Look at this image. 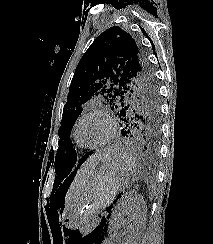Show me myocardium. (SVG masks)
<instances>
[{"instance_id":"f54148a6","label":"myocardium","mask_w":213,"mask_h":244,"mask_svg":"<svg viewBox=\"0 0 213 244\" xmlns=\"http://www.w3.org/2000/svg\"><path fill=\"white\" fill-rule=\"evenodd\" d=\"M93 115L101 116L106 121V123L108 125V133H107L106 137L100 143L95 144V145H86L79 140L77 130H78L80 123L84 119H86L89 116H93ZM115 134H116V122H115L113 116L111 115V113L106 108H103V107H98V108L91 109V110L84 112L76 120V122L73 126V131H72V136H73L75 142L80 147L85 148V149L101 148V147L105 146L106 144H108L113 139Z\"/></svg>"}]
</instances>
